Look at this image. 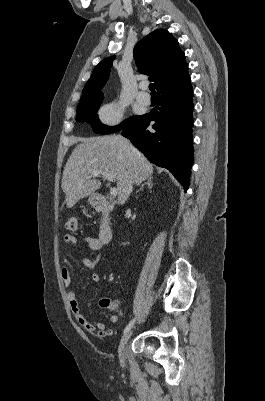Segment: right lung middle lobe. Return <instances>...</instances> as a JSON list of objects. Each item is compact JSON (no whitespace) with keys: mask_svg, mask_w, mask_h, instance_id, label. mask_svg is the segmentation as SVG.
<instances>
[{"mask_svg":"<svg viewBox=\"0 0 265 401\" xmlns=\"http://www.w3.org/2000/svg\"><path fill=\"white\" fill-rule=\"evenodd\" d=\"M103 100V95H98L90 100L78 104L76 120L91 123L92 129L98 134H110L124 130L141 120L142 116H132L121 124L110 127L100 123L96 112Z\"/></svg>","mask_w":265,"mask_h":401,"instance_id":"right-lung-middle-lobe-1","label":"right lung middle lobe"}]
</instances>
